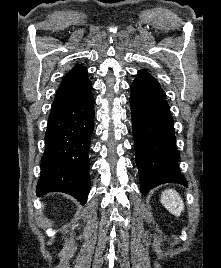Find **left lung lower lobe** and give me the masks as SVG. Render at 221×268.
Instances as JSON below:
<instances>
[{"mask_svg":"<svg viewBox=\"0 0 221 268\" xmlns=\"http://www.w3.org/2000/svg\"><path fill=\"white\" fill-rule=\"evenodd\" d=\"M130 88L134 148L142 194L164 183L187 186L178 167L173 118L159 83L137 77Z\"/></svg>","mask_w":221,"mask_h":268,"instance_id":"0a47b994","label":"left lung lower lobe"}]
</instances>
